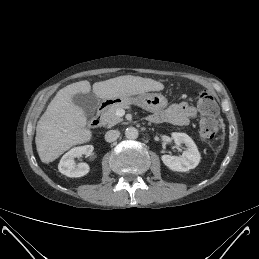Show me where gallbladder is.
I'll return each instance as SVG.
<instances>
[{"label":"gallbladder","instance_id":"gallbladder-1","mask_svg":"<svg viewBox=\"0 0 259 259\" xmlns=\"http://www.w3.org/2000/svg\"><path fill=\"white\" fill-rule=\"evenodd\" d=\"M73 103L80 107L88 118H92L95 115L96 108L98 106L99 99L93 93H78L72 96Z\"/></svg>","mask_w":259,"mask_h":259}]
</instances>
